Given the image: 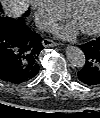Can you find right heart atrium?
Here are the masks:
<instances>
[{
    "mask_svg": "<svg viewBox=\"0 0 100 118\" xmlns=\"http://www.w3.org/2000/svg\"><path fill=\"white\" fill-rule=\"evenodd\" d=\"M30 3L36 23L40 28L47 29L64 16V12L53 0H30Z\"/></svg>",
    "mask_w": 100,
    "mask_h": 118,
    "instance_id": "right-heart-atrium-1",
    "label": "right heart atrium"
}]
</instances>
